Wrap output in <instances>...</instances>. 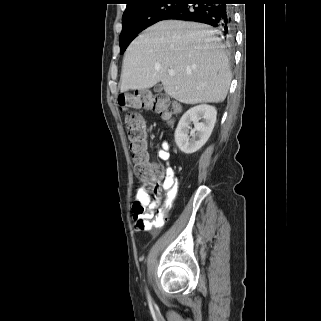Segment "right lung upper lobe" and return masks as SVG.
<instances>
[{
    "instance_id": "cb5924a9",
    "label": "right lung upper lobe",
    "mask_w": 321,
    "mask_h": 321,
    "mask_svg": "<svg viewBox=\"0 0 321 321\" xmlns=\"http://www.w3.org/2000/svg\"><path fill=\"white\" fill-rule=\"evenodd\" d=\"M126 1H127V7H126V10L124 11L123 16L131 12L133 9H136L146 4V2L153 1V0H126Z\"/></svg>"
}]
</instances>
